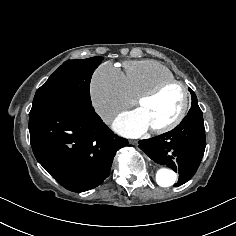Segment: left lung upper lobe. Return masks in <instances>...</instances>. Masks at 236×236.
<instances>
[{"instance_id": "5c2ea615", "label": "left lung upper lobe", "mask_w": 236, "mask_h": 236, "mask_svg": "<svg viewBox=\"0 0 236 236\" xmlns=\"http://www.w3.org/2000/svg\"><path fill=\"white\" fill-rule=\"evenodd\" d=\"M189 91L191 92L192 95V105L191 109L189 110L188 115H202V111L198 106V101L195 93L189 88Z\"/></svg>"}]
</instances>
